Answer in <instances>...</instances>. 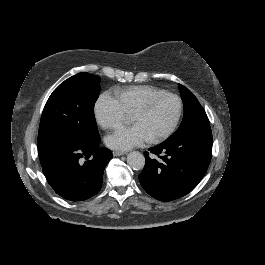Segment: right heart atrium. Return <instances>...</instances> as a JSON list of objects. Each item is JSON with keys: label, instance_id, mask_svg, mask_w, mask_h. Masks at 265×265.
I'll use <instances>...</instances> for the list:
<instances>
[{"label": "right heart atrium", "instance_id": "1", "mask_svg": "<svg viewBox=\"0 0 265 265\" xmlns=\"http://www.w3.org/2000/svg\"><path fill=\"white\" fill-rule=\"evenodd\" d=\"M93 113L98 125L104 129L118 128L123 122L124 111L111 93H104L98 98Z\"/></svg>", "mask_w": 265, "mask_h": 265}]
</instances>
